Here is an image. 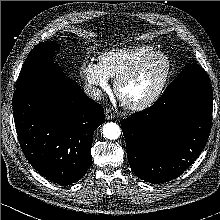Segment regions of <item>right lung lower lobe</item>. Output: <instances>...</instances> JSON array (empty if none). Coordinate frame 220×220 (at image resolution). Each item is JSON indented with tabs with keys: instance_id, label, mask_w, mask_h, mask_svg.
Segmentation results:
<instances>
[{
	"instance_id": "right-lung-lower-lobe-1",
	"label": "right lung lower lobe",
	"mask_w": 220,
	"mask_h": 220,
	"mask_svg": "<svg viewBox=\"0 0 220 220\" xmlns=\"http://www.w3.org/2000/svg\"><path fill=\"white\" fill-rule=\"evenodd\" d=\"M13 111L20 146L36 171L61 185L83 177L105 115L77 82L63 77L16 89Z\"/></svg>"
}]
</instances>
